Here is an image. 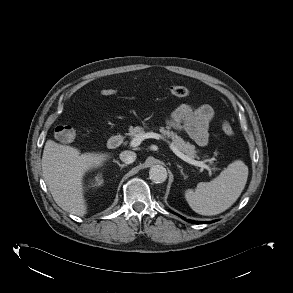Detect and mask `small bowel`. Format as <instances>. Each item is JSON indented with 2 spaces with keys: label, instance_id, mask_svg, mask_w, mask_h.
<instances>
[{
  "label": "small bowel",
  "instance_id": "c3829d8e",
  "mask_svg": "<svg viewBox=\"0 0 293 293\" xmlns=\"http://www.w3.org/2000/svg\"><path fill=\"white\" fill-rule=\"evenodd\" d=\"M213 118L214 110L208 104H181L167 119V125L186 133L197 145L205 146L209 141V125Z\"/></svg>",
  "mask_w": 293,
  "mask_h": 293
}]
</instances>
